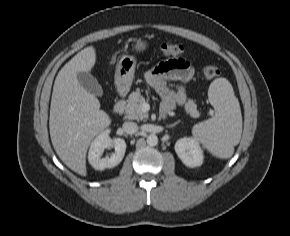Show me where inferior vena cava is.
Instances as JSON below:
<instances>
[{"instance_id":"1","label":"inferior vena cava","mask_w":290,"mask_h":236,"mask_svg":"<svg viewBox=\"0 0 290 236\" xmlns=\"http://www.w3.org/2000/svg\"><path fill=\"white\" fill-rule=\"evenodd\" d=\"M123 131L127 134H135L139 127L135 122H125L123 123Z\"/></svg>"}]
</instances>
